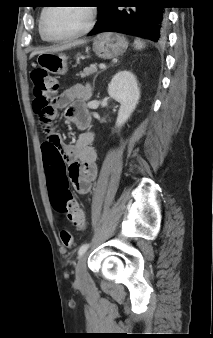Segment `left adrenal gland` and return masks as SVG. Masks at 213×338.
<instances>
[{"mask_svg": "<svg viewBox=\"0 0 213 338\" xmlns=\"http://www.w3.org/2000/svg\"><path fill=\"white\" fill-rule=\"evenodd\" d=\"M94 81H95V78H94ZM94 81H93V86H94Z\"/></svg>", "mask_w": 213, "mask_h": 338, "instance_id": "1", "label": "left adrenal gland"}]
</instances>
